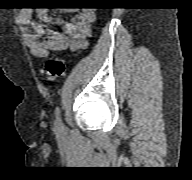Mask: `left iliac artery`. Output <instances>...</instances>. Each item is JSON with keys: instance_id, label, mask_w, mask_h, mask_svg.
Masks as SVG:
<instances>
[{"instance_id": "left-iliac-artery-1", "label": "left iliac artery", "mask_w": 192, "mask_h": 180, "mask_svg": "<svg viewBox=\"0 0 192 180\" xmlns=\"http://www.w3.org/2000/svg\"><path fill=\"white\" fill-rule=\"evenodd\" d=\"M60 108L59 107H56V109H55V118H56V122L58 123V124H60V122H61V118H60Z\"/></svg>"}]
</instances>
